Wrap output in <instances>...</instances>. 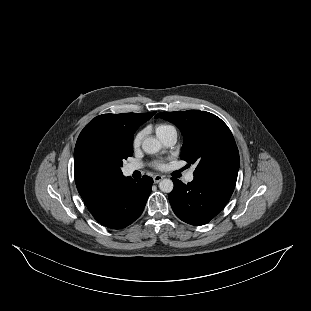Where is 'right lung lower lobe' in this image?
Wrapping results in <instances>:
<instances>
[{"label":"right lung lower lobe","instance_id":"obj_1","mask_svg":"<svg viewBox=\"0 0 311 311\" xmlns=\"http://www.w3.org/2000/svg\"><path fill=\"white\" fill-rule=\"evenodd\" d=\"M152 184L153 179L148 176L137 182L131 177L121 176L118 180L93 187L81 197L100 224L121 229L142 214Z\"/></svg>","mask_w":311,"mask_h":311}]
</instances>
